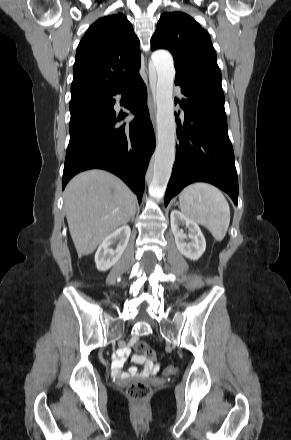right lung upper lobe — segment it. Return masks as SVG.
Here are the masks:
<instances>
[{
  "instance_id": "1",
  "label": "right lung upper lobe",
  "mask_w": 291,
  "mask_h": 440,
  "mask_svg": "<svg viewBox=\"0 0 291 440\" xmlns=\"http://www.w3.org/2000/svg\"><path fill=\"white\" fill-rule=\"evenodd\" d=\"M140 42L122 13L92 24L81 39L73 66L71 98L111 92L139 75Z\"/></svg>"
}]
</instances>
